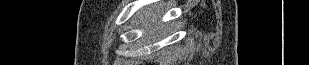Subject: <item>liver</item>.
Listing matches in <instances>:
<instances>
[{
    "mask_svg": "<svg viewBox=\"0 0 309 65\" xmlns=\"http://www.w3.org/2000/svg\"><path fill=\"white\" fill-rule=\"evenodd\" d=\"M161 6L160 4H154L152 5L150 8H148L147 10H145L144 14H145V19H143L144 24H149L151 22H154L156 20V12L159 14V8ZM155 12V14H154Z\"/></svg>",
    "mask_w": 309,
    "mask_h": 65,
    "instance_id": "obj_1",
    "label": "liver"
}]
</instances>
